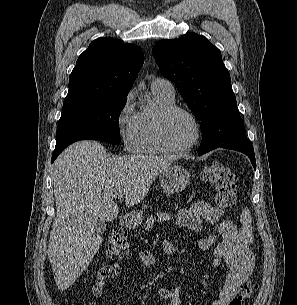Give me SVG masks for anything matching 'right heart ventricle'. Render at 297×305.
I'll use <instances>...</instances> for the list:
<instances>
[{
	"label": "right heart ventricle",
	"instance_id": "right-heart-ventricle-1",
	"mask_svg": "<svg viewBox=\"0 0 297 305\" xmlns=\"http://www.w3.org/2000/svg\"><path fill=\"white\" fill-rule=\"evenodd\" d=\"M156 109L152 112H139V126L135 136L133 150L140 154H158L162 151L157 147L153 137V124L156 113L165 107L174 105V98L168 97L165 94L152 90Z\"/></svg>",
	"mask_w": 297,
	"mask_h": 305
}]
</instances>
